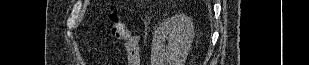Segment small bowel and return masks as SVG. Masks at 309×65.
Listing matches in <instances>:
<instances>
[{"instance_id":"c3829d8e","label":"small bowel","mask_w":309,"mask_h":65,"mask_svg":"<svg viewBox=\"0 0 309 65\" xmlns=\"http://www.w3.org/2000/svg\"><path fill=\"white\" fill-rule=\"evenodd\" d=\"M128 65H140L139 37L135 34H127L124 44Z\"/></svg>"}]
</instances>
